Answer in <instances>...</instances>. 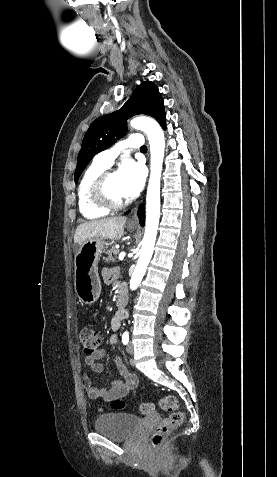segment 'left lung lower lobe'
Returning a JSON list of instances; mask_svg holds the SVG:
<instances>
[{"label":"left lung lower lobe","instance_id":"left-lung-lower-lobe-1","mask_svg":"<svg viewBox=\"0 0 277 477\" xmlns=\"http://www.w3.org/2000/svg\"><path fill=\"white\" fill-rule=\"evenodd\" d=\"M163 129L166 128V125H162ZM138 217H139V221H140V224L143 226L144 225V220H145V215H144V208L143 206H141L139 208V211H138Z\"/></svg>","mask_w":277,"mask_h":477}]
</instances>
